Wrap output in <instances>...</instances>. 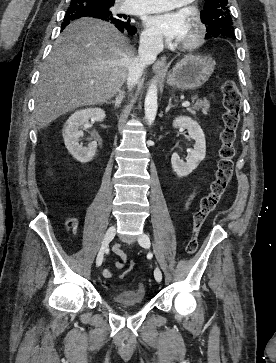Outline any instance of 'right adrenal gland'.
<instances>
[{"mask_svg":"<svg viewBox=\"0 0 276 363\" xmlns=\"http://www.w3.org/2000/svg\"><path fill=\"white\" fill-rule=\"evenodd\" d=\"M124 99V91L120 90L115 101H109L107 104H114L115 108H119Z\"/></svg>","mask_w":276,"mask_h":363,"instance_id":"1","label":"right adrenal gland"}]
</instances>
